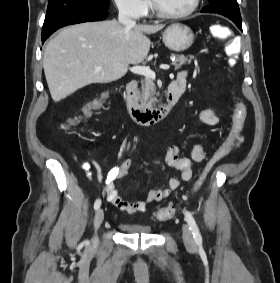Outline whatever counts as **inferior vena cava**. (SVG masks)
Wrapping results in <instances>:
<instances>
[{"label": "inferior vena cava", "mask_w": 280, "mask_h": 283, "mask_svg": "<svg viewBox=\"0 0 280 283\" xmlns=\"http://www.w3.org/2000/svg\"><path fill=\"white\" fill-rule=\"evenodd\" d=\"M118 20L123 26H134L136 24L135 21L131 19L128 11L124 8L119 9Z\"/></svg>", "instance_id": "1"}]
</instances>
